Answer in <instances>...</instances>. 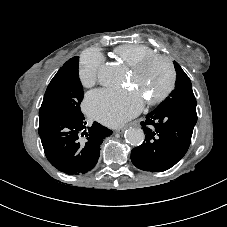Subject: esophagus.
Instances as JSON below:
<instances>
[{"label": "esophagus", "instance_id": "esophagus-1", "mask_svg": "<svg viewBox=\"0 0 227 227\" xmlns=\"http://www.w3.org/2000/svg\"><path fill=\"white\" fill-rule=\"evenodd\" d=\"M126 130V127L119 128L116 130L117 133L122 134Z\"/></svg>", "mask_w": 227, "mask_h": 227}]
</instances>
